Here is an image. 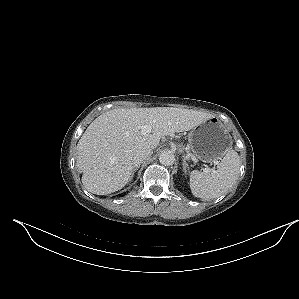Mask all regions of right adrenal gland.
I'll list each match as a JSON object with an SVG mask.
<instances>
[{"label": "right adrenal gland", "instance_id": "1", "mask_svg": "<svg viewBox=\"0 0 299 299\" xmlns=\"http://www.w3.org/2000/svg\"><path fill=\"white\" fill-rule=\"evenodd\" d=\"M139 167H140V165H138L137 167H135V168L133 169L132 174H131L130 181L132 180L134 173L139 169Z\"/></svg>", "mask_w": 299, "mask_h": 299}]
</instances>
